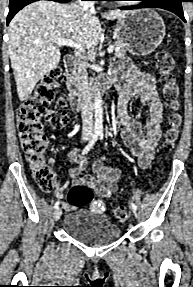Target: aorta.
<instances>
[{"label":"aorta","mask_w":193,"mask_h":287,"mask_svg":"<svg viewBox=\"0 0 193 287\" xmlns=\"http://www.w3.org/2000/svg\"><path fill=\"white\" fill-rule=\"evenodd\" d=\"M94 116H95V127L102 130L103 126V101L100 93V89L96 87V93L94 97Z\"/></svg>","instance_id":"obj_1"}]
</instances>
